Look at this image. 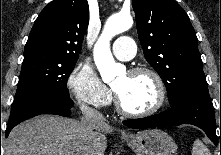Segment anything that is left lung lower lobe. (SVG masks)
<instances>
[{
    "instance_id": "left-lung-lower-lobe-1",
    "label": "left lung lower lobe",
    "mask_w": 221,
    "mask_h": 155,
    "mask_svg": "<svg viewBox=\"0 0 221 155\" xmlns=\"http://www.w3.org/2000/svg\"><path fill=\"white\" fill-rule=\"evenodd\" d=\"M123 124L136 129L192 124L203 129L217 145L215 114L211 107L207 87L190 90L178 102L171 105V109L160 114L141 119L126 120L123 121Z\"/></svg>"
}]
</instances>
